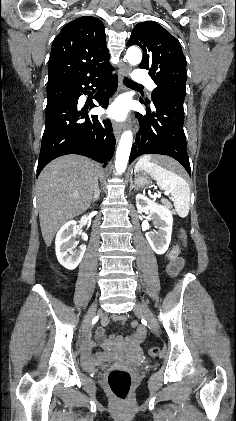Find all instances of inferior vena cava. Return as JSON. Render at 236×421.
Listing matches in <instances>:
<instances>
[{"mask_svg": "<svg viewBox=\"0 0 236 421\" xmlns=\"http://www.w3.org/2000/svg\"><path fill=\"white\" fill-rule=\"evenodd\" d=\"M95 194L97 196V194H98V186H97V188H95L94 196H95Z\"/></svg>", "mask_w": 236, "mask_h": 421, "instance_id": "1", "label": "inferior vena cava"}]
</instances>
